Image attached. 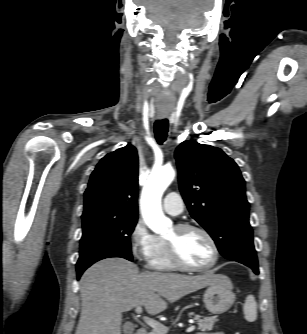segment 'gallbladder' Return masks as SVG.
I'll return each instance as SVG.
<instances>
[{"label":"gallbladder","instance_id":"gallbladder-1","mask_svg":"<svg viewBox=\"0 0 307 334\" xmlns=\"http://www.w3.org/2000/svg\"><path fill=\"white\" fill-rule=\"evenodd\" d=\"M123 331L125 334H132V332L134 331L133 324L130 322L125 323L123 326Z\"/></svg>","mask_w":307,"mask_h":334}]
</instances>
